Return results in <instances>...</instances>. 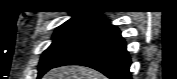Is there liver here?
Instances as JSON below:
<instances>
[{
    "label": "liver",
    "instance_id": "liver-1",
    "mask_svg": "<svg viewBox=\"0 0 177 79\" xmlns=\"http://www.w3.org/2000/svg\"><path fill=\"white\" fill-rule=\"evenodd\" d=\"M43 79H105V77L84 66H63L50 70Z\"/></svg>",
    "mask_w": 177,
    "mask_h": 79
}]
</instances>
